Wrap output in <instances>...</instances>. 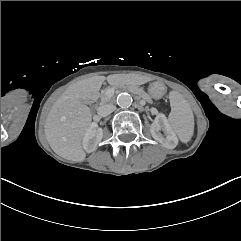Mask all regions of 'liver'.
<instances>
[{
	"label": "liver",
	"instance_id": "obj_1",
	"mask_svg": "<svg viewBox=\"0 0 241 241\" xmlns=\"http://www.w3.org/2000/svg\"><path fill=\"white\" fill-rule=\"evenodd\" d=\"M105 80L110 85L119 82L116 74L85 78L70 85L53 104L45 122V136L60 157L76 162L85 159L81 141L92 120L86 103L98 98Z\"/></svg>",
	"mask_w": 241,
	"mask_h": 241
}]
</instances>
